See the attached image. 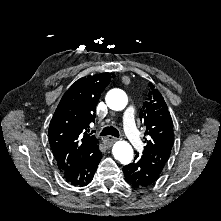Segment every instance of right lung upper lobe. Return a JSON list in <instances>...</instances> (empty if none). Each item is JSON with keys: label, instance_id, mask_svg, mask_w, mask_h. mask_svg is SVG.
<instances>
[{"label": "right lung upper lobe", "instance_id": "right-lung-upper-lobe-1", "mask_svg": "<svg viewBox=\"0 0 221 221\" xmlns=\"http://www.w3.org/2000/svg\"><path fill=\"white\" fill-rule=\"evenodd\" d=\"M111 73L78 79L63 95L49 125V141L61 171L94 147L98 141L88 134L95 119L101 93L109 85Z\"/></svg>", "mask_w": 221, "mask_h": 221}]
</instances>
